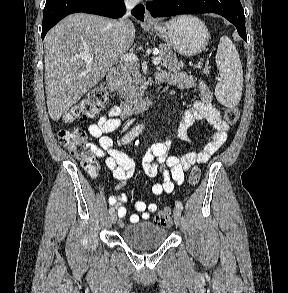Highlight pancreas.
I'll return each mask as SVG.
<instances>
[{"label": "pancreas", "mask_w": 288, "mask_h": 293, "mask_svg": "<svg viewBox=\"0 0 288 293\" xmlns=\"http://www.w3.org/2000/svg\"><path fill=\"white\" fill-rule=\"evenodd\" d=\"M159 57L163 60L162 65L168 70L177 73L183 68L173 50L165 44L159 45ZM143 80L139 72V65L134 62H123L118 66L115 89L121 98L134 100L144 92Z\"/></svg>", "instance_id": "obj_1"}]
</instances>
